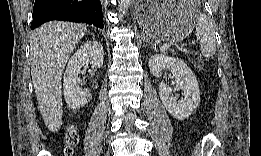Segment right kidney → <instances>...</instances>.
Instances as JSON below:
<instances>
[{"mask_svg": "<svg viewBox=\"0 0 261 156\" xmlns=\"http://www.w3.org/2000/svg\"><path fill=\"white\" fill-rule=\"evenodd\" d=\"M103 57V46L98 41L86 42L71 57L63 79L64 98L69 108L78 110L87 104L91 94L88 88L81 89L77 84L78 73L88 63L93 68H101Z\"/></svg>", "mask_w": 261, "mask_h": 156, "instance_id": "obj_1", "label": "right kidney"}]
</instances>
